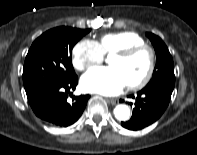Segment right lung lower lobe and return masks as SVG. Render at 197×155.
Instances as JSON below:
<instances>
[{"label":"right lung lower lobe","instance_id":"right-lung-lower-lobe-1","mask_svg":"<svg viewBox=\"0 0 197 155\" xmlns=\"http://www.w3.org/2000/svg\"><path fill=\"white\" fill-rule=\"evenodd\" d=\"M78 77L75 75L57 84L48 85L31 97L29 104L39 118L57 127H67L78 120L85 109L89 95L73 96L68 103L71 90H75Z\"/></svg>","mask_w":197,"mask_h":155}]
</instances>
